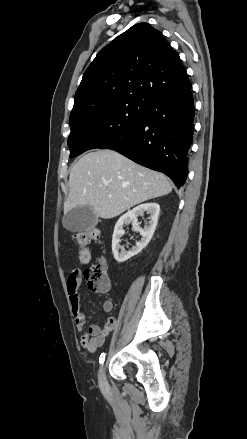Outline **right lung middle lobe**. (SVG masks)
<instances>
[{"label": "right lung middle lobe", "mask_w": 247, "mask_h": 439, "mask_svg": "<svg viewBox=\"0 0 247 439\" xmlns=\"http://www.w3.org/2000/svg\"><path fill=\"white\" fill-rule=\"evenodd\" d=\"M148 105L130 100L102 104L70 116V157L94 148H107L130 132Z\"/></svg>", "instance_id": "dd1d6c3e"}]
</instances>
